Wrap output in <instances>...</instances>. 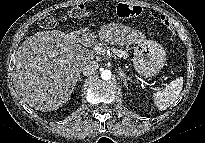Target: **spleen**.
<instances>
[{
	"label": "spleen",
	"instance_id": "3e777b00",
	"mask_svg": "<svg viewBox=\"0 0 205 143\" xmlns=\"http://www.w3.org/2000/svg\"><path fill=\"white\" fill-rule=\"evenodd\" d=\"M183 88V77L171 81L161 91L153 93L152 98L155 106L160 110H166L179 97Z\"/></svg>",
	"mask_w": 205,
	"mask_h": 143
}]
</instances>
